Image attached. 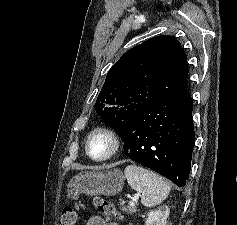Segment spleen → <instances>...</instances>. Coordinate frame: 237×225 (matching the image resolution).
I'll use <instances>...</instances> for the list:
<instances>
[{
    "label": "spleen",
    "instance_id": "obj_1",
    "mask_svg": "<svg viewBox=\"0 0 237 225\" xmlns=\"http://www.w3.org/2000/svg\"><path fill=\"white\" fill-rule=\"evenodd\" d=\"M124 173L131 188L141 194V203L146 207L163 202L171 190L168 180L141 166L128 165Z\"/></svg>",
    "mask_w": 237,
    "mask_h": 225
}]
</instances>
